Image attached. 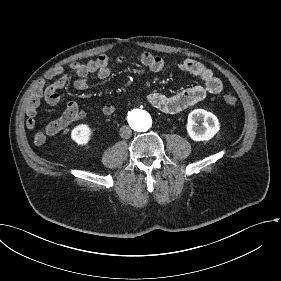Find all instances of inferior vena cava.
<instances>
[{
  "label": "inferior vena cava",
  "instance_id": "1",
  "mask_svg": "<svg viewBox=\"0 0 281 281\" xmlns=\"http://www.w3.org/2000/svg\"><path fill=\"white\" fill-rule=\"evenodd\" d=\"M131 129L129 126L127 125H124L120 128V131H119V134H120V137L124 138V139H128L130 138L131 136Z\"/></svg>",
  "mask_w": 281,
  "mask_h": 281
}]
</instances>
